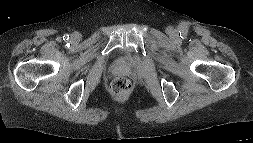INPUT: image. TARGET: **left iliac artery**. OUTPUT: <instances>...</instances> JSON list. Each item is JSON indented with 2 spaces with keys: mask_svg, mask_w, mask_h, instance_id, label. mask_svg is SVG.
Here are the masks:
<instances>
[{
  "mask_svg": "<svg viewBox=\"0 0 253 143\" xmlns=\"http://www.w3.org/2000/svg\"><path fill=\"white\" fill-rule=\"evenodd\" d=\"M187 33H188L187 30H182V32H180V37H181L182 39H185V38L187 37Z\"/></svg>",
  "mask_w": 253,
  "mask_h": 143,
  "instance_id": "44dca946",
  "label": "left iliac artery"
}]
</instances>
